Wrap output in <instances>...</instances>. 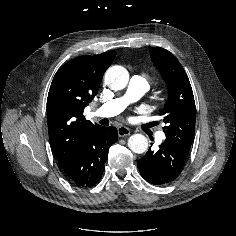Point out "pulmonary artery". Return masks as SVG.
<instances>
[{
  "mask_svg": "<svg viewBox=\"0 0 236 236\" xmlns=\"http://www.w3.org/2000/svg\"><path fill=\"white\" fill-rule=\"evenodd\" d=\"M149 83L141 76L134 75L131 77L127 91L124 96L113 99L96 109V115L100 117H113L121 113L131 102L138 100L148 90ZM157 139L162 141L164 134L158 133Z\"/></svg>",
  "mask_w": 236,
  "mask_h": 236,
  "instance_id": "pulmonary-artery-1",
  "label": "pulmonary artery"
}]
</instances>
